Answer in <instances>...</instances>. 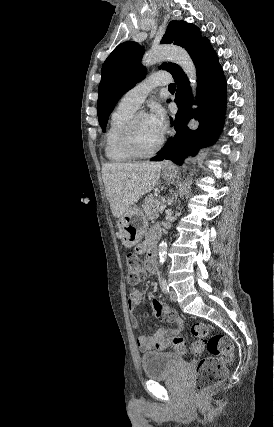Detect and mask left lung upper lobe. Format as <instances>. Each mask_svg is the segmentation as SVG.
I'll return each mask as SVG.
<instances>
[{
    "instance_id": "5c2ea615",
    "label": "left lung upper lobe",
    "mask_w": 274,
    "mask_h": 427,
    "mask_svg": "<svg viewBox=\"0 0 274 427\" xmlns=\"http://www.w3.org/2000/svg\"><path fill=\"white\" fill-rule=\"evenodd\" d=\"M199 31L194 24L174 20L169 23L161 43L179 45L191 54L199 42L206 40ZM143 52L138 43L124 42L119 44L104 62L97 102L98 119L103 132L106 130L109 114L120 97L144 78L146 71L140 63ZM159 68L167 70L172 75L181 70L174 63H164Z\"/></svg>"
}]
</instances>
